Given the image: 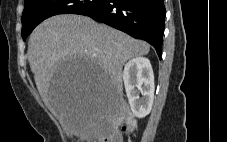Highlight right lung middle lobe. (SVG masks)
<instances>
[{
	"instance_id": "dd1d6c3e",
	"label": "right lung middle lobe",
	"mask_w": 227,
	"mask_h": 142,
	"mask_svg": "<svg viewBox=\"0 0 227 142\" xmlns=\"http://www.w3.org/2000/svg\"><path fill=\"white\" fill-rule=\"evenodd\" d=\"M105 0H28L22 14V38L25 41L43 20L57 14H78L97 7Z\"/></svg>"
}]
</instances>
